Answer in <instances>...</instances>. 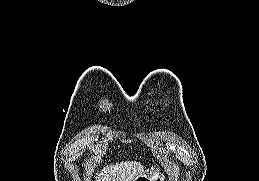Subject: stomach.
Returning a JSON list of instances; mask_svg holds the SVG:
<instances>
[{"mask_svg": "<svg viewBox=\"0 0 259 181\" xmlns=\"http://www.w3.org/2000/svg\"><path fill=\"white\" fill-rule=\"evenodd\" d=\"M134 181H163V178L160 176L157 170L149 172V174L142 173L138 175Z\"/></svg>", "mask_w": 259, "mask_h": 181, "instance_id": "stomach-1", "label": "stomach"}]
</instances>
